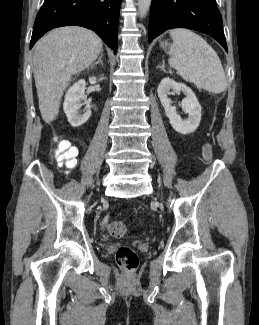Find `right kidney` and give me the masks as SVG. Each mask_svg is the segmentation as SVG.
<instances>
[{
    "mask_svg": "<svg viewBox=\"0 0 259 325\" xmlns=\"http://www.w3.org/2000/svg\"><path fill=\"white\" fill-rule=\"evenodd\" d=\"M96 77H90L89 82L91 84L96 83ZM86 82L84 79H81L74 83L66 92L65 100L63 103V109L67 116L69 123L73 127H79L87 122L91 116L90 101H87V96L85 95ZM81 101H84L85 109L84 113L79 114V109L82 104Z\"/></svg>",
    "mask_w": 259,
    "mask_h": 325,
    "instance_id": "right-kidney-1",
    "label": "right kidney"
}]
</instances>
